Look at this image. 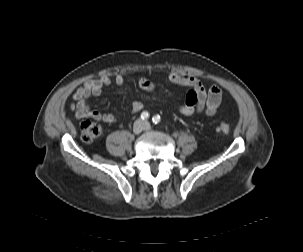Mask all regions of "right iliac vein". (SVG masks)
I'll use <instances>...</instances> for the list:
<instances>
[{"mask_svg": "<svg viewBox=\"0 0 303 252\" xmlns=\"http://www.w3.org/2000/svg\"><path fill=\"white\" fill-rule=\"evenodd\" d=\"M144 129V124L139 120L136 121L133 125V132L134 134H139Z\"/></svg>", "mask_w": 303, "mask_h": 252, "instance_id": "right-iliac-vein-1", "label": "right iliac vein"}]
</instances>
